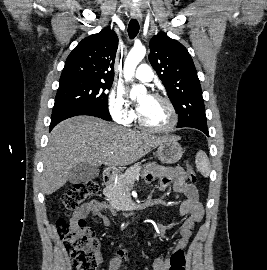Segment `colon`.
Masks as SVG:
<instances>
[{
  "label": "colon",
  "mask_w": 267,
  "mask_h": 270,
  "mask_svg": "<svg viewBox=\"0 0 267 270\" xmlns=\"http://www.w3.org/2000/svg\"><path fill=\"white\" fill-rule=\"evenodd\" d=\"M186 179L191 184L197 180L190 163H187ZM98 190L99 187L95 181L77 184L62 195L61 205L67 213H75ZM56 226L65 249L77 270H97L100 264L99 244L93 230L86 226L85 221L68 222L61 218L58 219ZM185 263L184 248L175 250L170 256L169 270H185Z\"/></svg>",
  "instance_id": "1"
}]
</instances>
